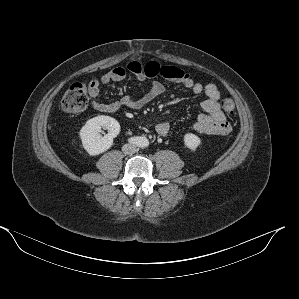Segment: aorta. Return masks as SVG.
Returning <instances> with one entry per match:
<instances>
[{"label": "aorta", "instance_id": "obj_1", "mask_svg": "<svg viewBox=\"0 0 299 299\" xmlns=\"http://www.w3.org/2000/svg\"><path fill=\"white\" fill-rule=\"evenodd\" d=\"M149 145V141L147 138L145 137H141L140 139V146L141 147H147Z\"/></svg>", "mask_w": 299, "mask_h": 299}]
</instances>
